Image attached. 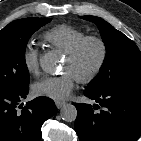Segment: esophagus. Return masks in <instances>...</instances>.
<instances>
[{
	"label": "esophagus",
	"mask_w": 141,
	"mask_h": 141,
	"mask_svg": "<svg viewBox=\"0 0 141 141\" xmlns=\"http://www.w3.org/2000/svg\"><path fill=\"white\" fill-rule=\"evenodd\" d=\"M55 104L58 109H61L62 107L66 105V103L63 101H56Z\"/></svg>",
	"instance_id": "obj_1"
}]
</instances>
